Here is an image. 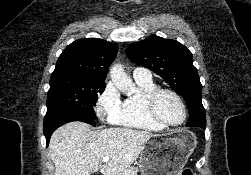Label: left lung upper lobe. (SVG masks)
<instances>
[{"label":"left lung upper lobe","mask_w":251,"mask_h":175,"mask_svg":"<svg viewBox=\"0 0 251 175\" xmlns=\"http://www.w3.org/2000/svg\"><path fill=\"white\" fill-rule=\"evenodd\" d=\"M126 54L132 62L160 75L184 98L188 107H203L202 85L193 65L192 53L180 42L151 35L130 44ZM186 126L205 129L206 120Z\"/></svg>","instance_id":"left-lung-upper-lobe-1"}]
</instances>
